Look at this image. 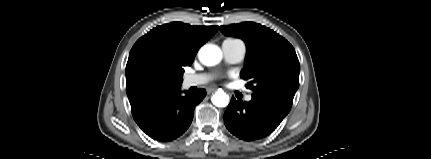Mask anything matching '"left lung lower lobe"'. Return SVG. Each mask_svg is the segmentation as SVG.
Listing matches in <instances>:
<instances>
[{"instance_id": "1", "label": "left lung lower lobe", "mask_w": 431, "mask_h": 159, "mask_svg": "<svg viewBox=\"0 0 431 159\" xmlns=\"http://www.w3.org/2000/svg\"><path fill=\"white\" fill-rule=\"evenodd\" d=\"M290 109L291 106L273 98L252 96L249 102L232 98L224 113V122L239 139L253 141L273 132Z\"/></svg>"}]
</instances>
